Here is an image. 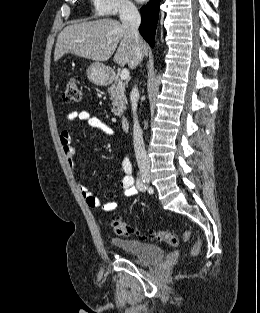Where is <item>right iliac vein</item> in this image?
I'll return each instance as SVG.
<instances>
[{"label": "right iliac vein", "instance_id": "obj_1", "mask_svg": "<svg viewBox=\"0 0 260 313\" xmlns=\"http://www.w3.org/2000/svg\"><path fill=\"white\" fill-rule=\"evenodd\" d=\"M141 175L146 182L150 181V173L148 168H141Z\"/></svg>", "mask_w": 260, "mask_h": 313}]
</instances>
